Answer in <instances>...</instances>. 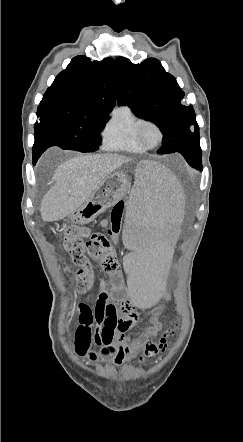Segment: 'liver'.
<instances>
[{
  "instance_id": "6515ba94",
  "label": "liver",
  "mask_w": 243,
  "mask_h": 442,
  "mask_svg": "<svg viewBox=\"0 0 243 442\" xmlns=\"http://www.w3.org/2000/svg\"><path fill=\"white\" fill-rule=\"evenodd\" d=\"M130 159L118 154L78 155L55 170V185L43 197L40 213L46 222L62 220L84 204L100 183Z\"/></svg>"
}]
</instances>
